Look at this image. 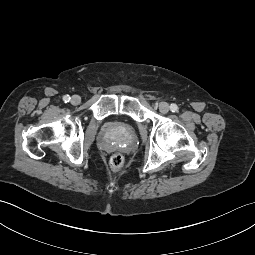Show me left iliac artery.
I'll return each mask as SVG.
<instances>
[{
	"label": "left iliac artery",
	"instance_id": "obj_1",
	"mask_svg": "<svg viewBox=\"0 0 255 255\" xmlns=\"http://www.w3.org/2000/svg\"><path fill=\"white\" fill-rule=\"evenodd\" d=\"M178 109H179V108H178V106H177L176 104L173 103V104L170 105V110H171L172 112H177Z\"/></svg>",
	"mask_w": 255,
	"mask_h": 255
}]
</instances>
